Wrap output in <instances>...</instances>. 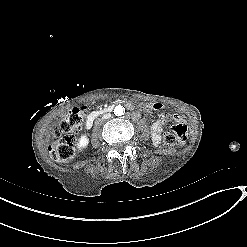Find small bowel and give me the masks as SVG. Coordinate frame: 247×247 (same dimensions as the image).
Wrapping results in <instances>:
<instances>
[{
	"label": "small bowel",
	"instance_id": "1",
	"mask_svg": "<svg viewBox=\"0 0 247 247\" xmlns=\"http://www.w3.org/2000/svg\"><path fill=\"white\" fill-rule=\"evenodd\" d=\"M144 110L148 113H151L149 111H147L145 109V107H143ZM174 119L177 121V122H181L183 119L180 115L176 114L174 115ZM164 125H165V120L160 118V119H157L153 125H152V140L155 144H158L160 141H161V136H162V132H163V128H164Z\"/></svg>",
	"mask_w": 247,
	"mask_h": 247
}]
</instances>
